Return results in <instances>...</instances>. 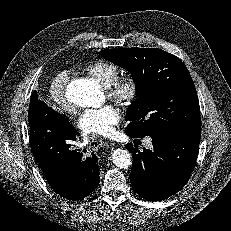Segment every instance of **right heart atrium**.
I'll list each match as a JSON object with an SVG mask.
<instances>
[{"mask_svg": "<svg viewBox=\"0 0 231 231\" xmlns=\"http://www.w3.org/2000/svg\"><path fill=\"white\" fill-rule=\"evenodd\" d=\"M69 81L67 71H61L54 75L50 83V95L52 100L65 112H72V107L65 96Z\"/></svg>", "mask_w": 231, "mask_h": 231, "instance_id": "1", "label": "right heart atrium"}]
</instances>
